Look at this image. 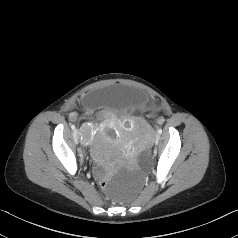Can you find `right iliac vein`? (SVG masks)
<instances>
[{"instance_id":"obj_1","label":"right iliac vein","mask_w":238,"mask_h":238,"mask_svg":"<svg viewBox=\"0 0 238 238\" xmlns=\"http://www.w3.org/2000/svg\"><path fill=\"white\" fill-rule=\"evenodd\" d=\"M78 130L77 129H75L74 131H73V135H74V137H76V138H78Z\"/></svg>"}]
</instances>
